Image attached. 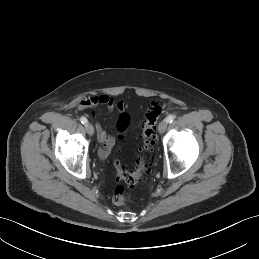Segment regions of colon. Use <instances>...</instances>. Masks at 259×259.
<instances>
[{
  "mask_svg": "<svg viewBox=\"0 0 259 259\" xmlns=\"http://www.w3.org/2000/svg\"><path fill=\"white\" fill-rule=\"evenodd\" d=\"M161 106L154 102L145 112V119L142 131V151L146 152L152 148L156 142V124L161 116ZM130 123V117L127 113H121L116 122V130L123 133ZM117 180L123 181L129 187L136 186L144 175L148 172L149 164L146 157H141L137 162L135 171H129L120 163L119 160L114 161ZM129 198L127 190L122 185H117L113 190L112 200L115 204H123Z\"/></svg>",
  "mask_w": 259,
  "mask_h": 259,
  "instance_id": "colon-1",
  "label": "colon"
}]
</instances>
